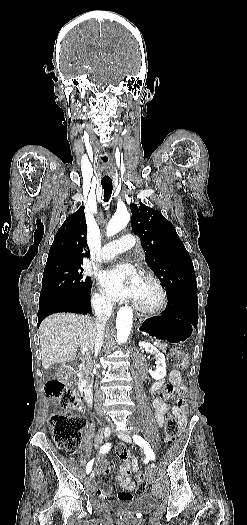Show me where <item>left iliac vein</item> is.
Here are the masks:
<instances>
[{
	"mask_svg": "<svg viewBox=\"0 0 247 525\" xmlns=\"http://www.w3.org/2000/svg\"><path fill=\"white\" fill-rule=\"evenodd\" d=\"M118 437H119L121 440H123V441H125V442H127V443H132V439H131V437H130L128 434H125V433H118ZM150 469H151L152 471H154V470L156 469V465H155L154 462H152V463L150 464Z\"/></svg>",
	"mask_w": 247,
	"mask_h": 525,
	"instance_id": "left-iliac-vein-1",
	"label": "left iliac vein"
}]
</instances>
